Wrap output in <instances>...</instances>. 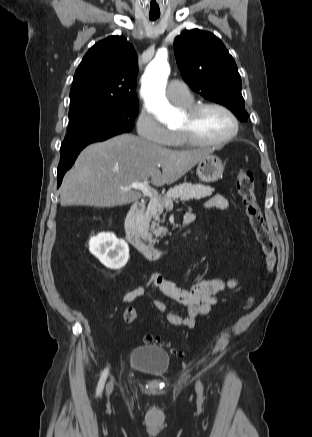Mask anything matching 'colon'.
I'll return each mask as SVG.
<instances>
[{"label":"colon","instance_id":"obj_1","mask_svg":"<svg viewBox=\"0 0 312 437\" xmlns=\"http://www.w3.org/2000/svg\"><path fill=\"white\" fill-rule=\"evenodd\" d=\"M236 183L250 226L257 242L262 248L266 269L270 272L276 263L275 245L266 228L261 208L256 199L253 173L247 168H240L236 176ZM252 302L253 300L249 299L246 306L250 307ZM136 319V309L133 307L126 308L124 311L125 322L133 323ZM154 341L155 340L150 337L147 338V342Z\"/></svg>","mask_w":312,"mask_h":437}]
</instances>
